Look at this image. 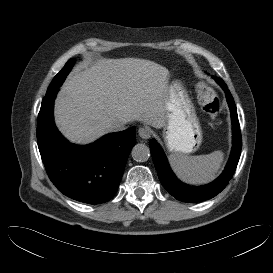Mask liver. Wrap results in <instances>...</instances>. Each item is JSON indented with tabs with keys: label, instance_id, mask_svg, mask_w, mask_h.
<instances>
[{
	"label": "liver",
	"instance_id": "obj_1",
	"mask_svg": "<svg viewBox=\"0 0 273 273\" xmlns=\"http://www.w3.org/2000/svg\"><path fill=\"white\" fill-rule=\"evenodd\" d=\"M169 71L138 58H101L68 77L55 103V123L71 142L88 144L114 122L166 124Z\"/></svg>",
	"mask_w": 273,
	"mask_h": 273
}]
</instances>
